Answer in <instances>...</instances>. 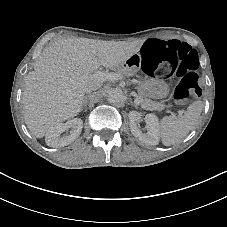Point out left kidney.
Here are the masks:
<instances>
[{"label":"left kidney","instance_id":"5707ae66","mask_svg":"<svg viewBox=\"0 0 227 227\" xmlns=\"http://www.w3.org/2000/svg\"><path fill=\"white\" fill-rule=\"evenodd\" d=\"M129 126L131 133L146 145H157L159 143V121L158 117L154 114H147L144 118L146 123L147 133H142L137 126L138 121L141 119V114L137 111L129 112Z\"/></svg>","mask_w":227,"mask_h":227}]
</instances>
